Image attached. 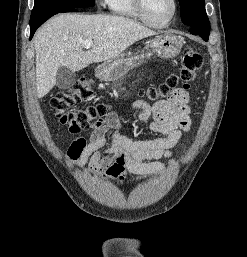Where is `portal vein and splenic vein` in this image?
<instances>
[{
  "instance_id": "portal-vein-and-splenic-vein-1",
  "label": "portal vein and splenic vein",
  "mask_w": 247,
  "mask_h": 257,
  "mask_svg": "<svg viewBox=\"0 0 247 257\" xmlns=\"http://www.w3.org/2000/svg\"><path fill=\"white\" fill-rule=\"evenodd\" d=\"M92 45H93V41H92V40H86V41H84V43H83V47L86 48V49L91 48Z\"/></svg>"
}]
</instances>
